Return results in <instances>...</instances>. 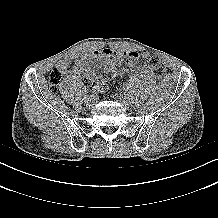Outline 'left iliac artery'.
Instances as JSON below:
<instances>
[{
    "label": "left iliac artery",
    "instance_id": "obj_1",
    "mask_svg": "<svg viewBox=\"0 0 218 218\" xmlns=\"http://www.w3.org/2000/svg\"><path fill=\"white\" fill-rule=\"evenodd\" d=\"M122 94H123V96H127V97L129 96V97H130V94H129L128 91H126V90H123V91H122Z\"/></svg>",
    "mask_w": 218,
    "mask_h": 218
}]
</instances>
